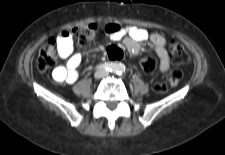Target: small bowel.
I'll return each instance as SVG.
<instances>
[{
	"instance_id": "small-bowel-1",
	"label": "small bowel",
	"mask_w": 225,
	"mask_h": 155,
	"mask_svg": "<svg viewBox=\"0 0 225 155\" xmlns=\"http://www.w3.org/2000/svg\"><path fill=\"white\" fill-rule=\"evenodd\" d=\"M112 29L106 34L113 40L124 39V44L132 55H137L141 51V44L149 42L153 47L159 60L158 70L165 73L170 69V59L167 52V40L159 33H150L144 28L137 26H120L118 24H107ZM56 43L58 45V55L65 61L64 65L57 66L52 76L57 82L73 83L78 77L77 68L81 62V54L74 53L71 32L66 27H61L56 32Z\"/></svg>"
}]
</instances>
